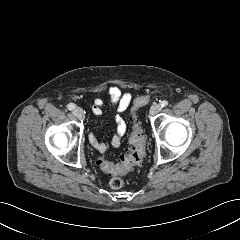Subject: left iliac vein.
<instances>
[{"mask_svg":"<svg viewBox=\"0 0 240 240\" xmlns=\"http://www.w3.org/2000/svg\"><path fill=\"white\" fill-rule=\"evenodd\" d=\"M161 111V105L160 104H154L151 106L149 110V114L151 116L158 114Z\"/></svg>","mask_w":240,"mask_h":240,"instance_id":"1","label":"left iliac vein"}]
</instances>
